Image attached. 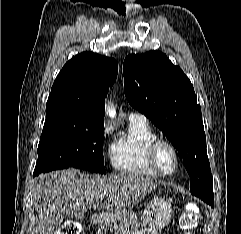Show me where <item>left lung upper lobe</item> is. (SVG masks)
Wrapping results in <instances>:
<instances>
[{"label": "left lung upper lobe", "mask_w": 241, "mask_h": 234, "mask_svg": "<svg viewBox=\"0 0 241 234\" xmlns=\"http://www.w3.org/2000/svg\"><path fill=\"white\" fill-rule=\"evenodd\" d=\"M125 96L171 141L191 177V194L214 206L201 107L193 85L164 53L129 55L123 64Z\"/></svg>", "instance_id": "1"}]
</instances>
